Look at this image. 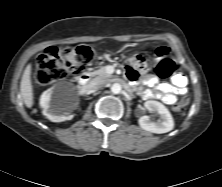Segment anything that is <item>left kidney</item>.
Listing matches in <instances>:
<instances>
[{
  "mask_svg": "<svg viewBox=\"0 0 222 187\" xmlns=\"http://www.w3.org/2000/svg\"><path fill=\"white\" fill-rule=\"evenodd\" d=\"M145 108L159 115V120L151 121L149 116H142L138 123L146 131L162 134L171 131L174 128V120L169 110L160 102L149 100L144 103Z\"/></svg>",
  "mask_w": 222,
  "mask_h": 187,
  "instance_id": "obj_1",
  "label": "left kidney"
}]
</instances>
